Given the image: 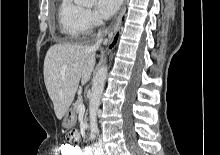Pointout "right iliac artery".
I'll return each instance as SVG.
<instances>
[{
	"label": "right iliac artery",
	"mask_w": 220,
	"mask_h": 155,
	"mask_svg": "<svg viewBox=\"0 0 220 155\" xmlns=\"http://www.w3.org/2000/svg\"><path fill=\"white\" fill-rule=\"evenodd\" d=\"M95 155H101V154H98V152H96V154Z\"/></svg>",
	"instance_id": "obj_1"
}]
</instances>
